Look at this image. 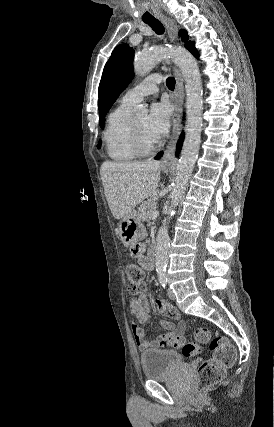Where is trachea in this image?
Here are the masks:
<instances>
[{
  "label": "trachea",
  "instance_id": "obj_1",
  "mask_svg": "<svg viewBox=\"0 0 274 427\" xmlns=\"http://www.w3.org/2000/svg\"><path fill=\"white\" fill-rule=\"evenodd\" d=\"M143 21L144 23H147V25H149L158 35H162V33H164V26L159 20H157V18L152 17ZM166 85L170 90H174L175 79L173 77H168L166 80Z\"/></svg>",
  "mask_w": 274,
  "mask_h": 427
}]
</instances>
